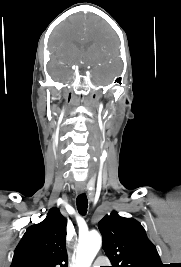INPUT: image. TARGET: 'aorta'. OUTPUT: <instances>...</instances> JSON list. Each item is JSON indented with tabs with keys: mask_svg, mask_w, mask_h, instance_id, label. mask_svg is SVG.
<instances>
[{
	"mask_svg": "<svg viewBox=\"0 0 181 267\" xmlns=\"http://www.w3.org/2000/svg\"><path fill=\"white\" fill-rule=\"evenodd\" d=\"M101 245L102 237L96 231L81 236L77 247V267H90Z\"/></svg>",
	"mask_w": 181,
	"mask_h": 267,
	"instance_id": "762f6f07",
	"label": "aorta"
}]
</instances>
